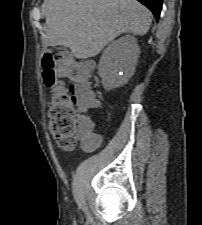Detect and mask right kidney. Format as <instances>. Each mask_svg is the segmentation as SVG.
Masks as SVG:
<instances>
[{"label": "right kidney", "mask_w": 202, "mask_h": 225, "mask_svg": "<svg viewBox=\"0 0 202 225\" xmlns=\"http://www.w3.org/2000/svg\"><path fill=\"white\" fill-rule=\"evenodd\" d=\"M140 54L137 39L126 35L112 42L102 53L98 73L106 90L125 85L135 72Z\"/></svg>", "instance_id": "ca27d5eb"}]
</instances>
